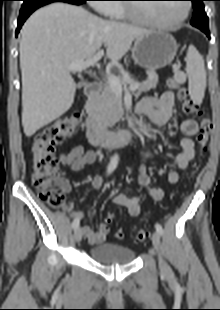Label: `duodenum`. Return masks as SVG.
Masks as SVG:
<instances>
[{
  "instance_id": "duodenum-1",
  "label": "duodenum",
  "mask_w": 220,
  "mask_h": 310,
  "mask_svg": "<svg viewBox=\"0 0 220 310\" xmlns=\"http://www.w3.org/2000/svg\"><path fill=\"white\" fill-rule=\"evenodd\" d=\"M101 91L99 82H91L85 89V96L92 103ZM85 135L90 144L98 146L103 145L108 148L128 145L133 138L132 132L129 129L110 130L98 124L92 116H87L84 125Z\"/></svg>"
}]
</instances>
